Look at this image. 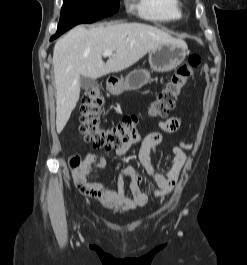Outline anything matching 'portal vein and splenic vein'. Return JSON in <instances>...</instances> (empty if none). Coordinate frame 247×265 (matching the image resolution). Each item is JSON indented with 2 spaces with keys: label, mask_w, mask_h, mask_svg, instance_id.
Instances as JSON below:
<instances>
[{
  "label": "portal vein and splenic vein",
  "mask_w": 247,
  "mask_h": 265,
  "mask_svg": "<svg viewBox=\"0 0 247 265\" xmlns=\"http://www.w3.org/2000/svg\"><path fill=\"white\" fill-rule=\"evenodd\" d=\"M103 55L104 56H111V55H113V52L111 50H106Z\"/></svg>",
  "instance_id": "obj_1"
}]
</instances>
